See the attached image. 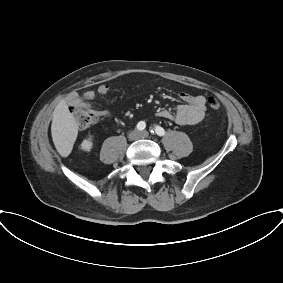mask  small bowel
<instances>
[{"label":"small bowel","instance_id":"1","mask_svg":"<svg viewBox=\"0 0 283 283\" xmlns=\"http://www.w3.org/2000/svg\"><path fill=\"white\" fill-rule=\"evenodd\" d=\"M110 90L107 84L100 85L96 91L88 89L85 90L81 95L73 94L70 100L75 105L90 107L92 101L96 95L104 96ZM180 98L183 104L178 105L176 112L172 113L169 110H160L158 116L167 119L174 120L180 125H195L202 121L206 112V99L202 95H192L189 93H181ZM101 117H111L109 110H102L98 112Z\"/></svg>","mask_w":283,"mask_h":283}]
</instances>
